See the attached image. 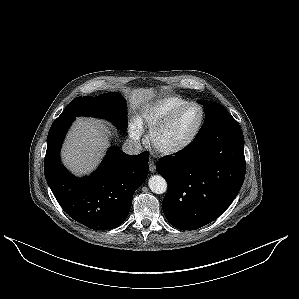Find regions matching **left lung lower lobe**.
<instances>
[{"instance_id": "left-lung-lower-lobe-1", "label": "left lung lower lobe", "mask_w": 299, "mask_h": 299, "mask_svg": "<svg viewBox=\"0 0 299 299\" xmlns=\"http://www.w3.org/2000/svg\"><path fill=\"white\" fill-rule=\"evenodd\" d=\"M156 170L168 182L162 202L165 217L176 228L195 230L218 218L244 182V137L229 116L192 144L161 159Z\"/></svg>"}]
</instances>
